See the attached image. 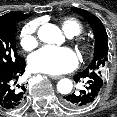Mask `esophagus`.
I'll list each match as a JSON object with an SVG mask.
<instances>
[{
	"label": "esophagus",
	"mask_w": 117,
	"mask_h": 117,
	"mask_svg": "<svg viewBox=\"0 0 117 117\" xmlns=\"http://www.w3.org/2000/svg\"><path fill=\"white\" fill-rule=\"evenodd\" d=\"M50 78L54 79V80H57V79H60L61 76H59V75H51Z\"/></svg>",
	"instance_id": "obj_1"
}]
</instances>
